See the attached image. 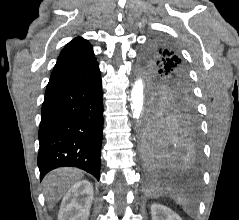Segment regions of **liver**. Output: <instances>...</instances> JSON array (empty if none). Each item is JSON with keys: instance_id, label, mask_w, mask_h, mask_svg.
<instances>
[{"instance_id": "liver-1", "label": "liver", "mask_w": 239, "mask_h": 220, "mask_svg": "<svg viewBox=\"0 0 239 220\" xmlns=\"http://www.w3.org/2000/svg\"><path fill=\"white\" fill-rule=\"evenodd\" d=\"M82 177L83 173L74 168H59L50 172L43 179L44 195L48 202V208L52 209L69 188Z\"/></svg>"}]
</instances>
